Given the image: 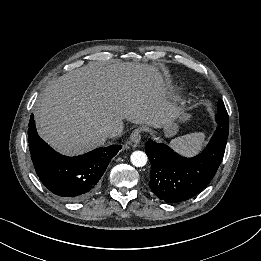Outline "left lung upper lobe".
I'll return each mask as SVG.
<instances>
[{"label":"left lung upper lobe","instance_id":"obj_1","mask_svg":"<svg viewBox=\"0 0 261 261\" xmlns=\"http://www.w3.org/2000/svg\"><path fill=\"white\" fill-rule=\"evenodd\" d=\"M218 113H221L223 114V117L228 118V114L222 100H219L218 103Z\"/></svg>","mask_w":261,"mask_h":261}]
</instances>
